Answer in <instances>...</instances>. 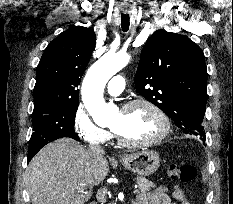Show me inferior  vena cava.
<instances>
[{"instance_id":"inferior-vena-cava-1","label":"inferior vena cava","mask_w":233,"mask_h":204,"mask_svg":"<svg viewBox=\"0 0 233 204\" xmlns=\"http://www.w3.org/2000/svg\"><path fill=\"white\" fill-rule=\"evenodd\" d=\"M90 149L95 157H101L104 154V149L99 145V142L92 143Z\"/></svg>"}]
</instances>
